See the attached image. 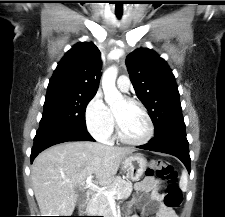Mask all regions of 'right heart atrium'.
Returning a JSON list of instances; mask_svg holds the SVG:
<instances>
[{"label": "right heart atrium", "mask_w": 225, "mask_h": 217, "mask_svg": "<svg viewBox=\"0 0 225 217\" xmlns=\"http://www.w3.org/2000/svg\"><path fill=\"white\" fill-rule=\"evenodd\" d=\"M85 123L92 136L101 141L111 138L114 131V118L100 93H96L85 109Z\"/></svg>", "instance_id": "obj_1"}]
</instances>
